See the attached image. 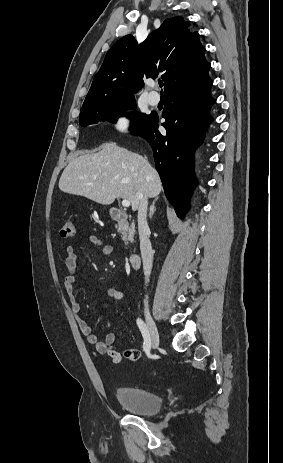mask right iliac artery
Returning a JSON list of instances; mask_svg holds the SVG:
<instances>
[{
	"label": "right iliac artery",
	"mask_w": 283,
	"mask_h": 463,
	"mask_svg": "<svg viewBox=\"0 0 283 463\" xmlns=\"http://www.w3.org/2000/svg\"><path fill=\"white\" fill-rule=\"evenodd\" d=\"M137 325L142 333V336L144 338V344H143V349L144 351H149L151 348V340H150V335L148 328L144 321L140 318L137 319Z\"/></svg>",
	"instance_id": "82829eb1"
}]
</instances>
